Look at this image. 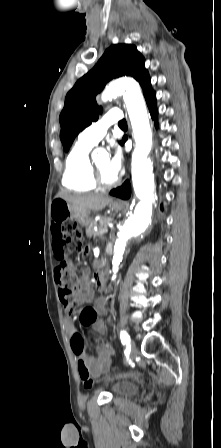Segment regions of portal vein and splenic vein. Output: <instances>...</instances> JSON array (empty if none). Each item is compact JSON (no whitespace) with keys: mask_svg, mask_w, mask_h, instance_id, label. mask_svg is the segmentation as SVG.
I'll list each match as a JSON object with an SVG mask.
<instances>
[{"mask_svg":"<svg viewBox=\"0 0 221 448\" xmlns=\"http://www.w3.org/2000/svg\"><path fill=\"white\" fill-rule=\"evenodd\" d=\"M107 232H108V227L105 226V227H103L102 229H100V230L98 231V235H104V234L107 233Z\"/></svg>","mask_w":221,"mask_h":448,"instance_id":"1","label":"portal vein and splenic vein"}]
</instances>
